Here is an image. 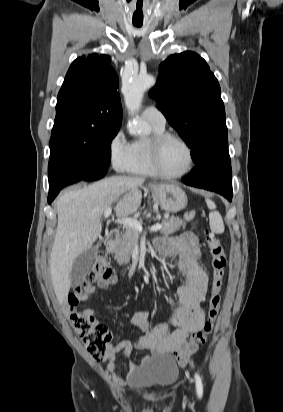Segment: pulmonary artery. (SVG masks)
Returning <instances> with one entry per match:
<instances>
[{
	"label": "pulmonary artery",
	"instance_id": "e3ab8cb5",
	"mask_svg": "<svg viewBox=\"0 0 283 412\" xmlns=\"http://www.w3.org/2000/svg\"><path fill=\"white\" fill-rule=\"evenodd\" d=\"M142 117L149 123L158 125V126H165L166 118L164 114L155 106H147L142 111Z\"/></svg>",
	"mask_w": 283,
	"mask_h": 412
}]
</instances>
